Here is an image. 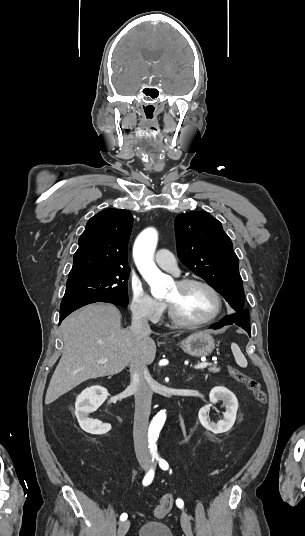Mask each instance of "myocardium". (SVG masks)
<instances>
[{
  "label": "myocardium",
  "instance_id": "f54148a6",
  "mask_svg": "<svg viewBox=\"0 0 305 536\" xmlns=\"http://www.w3.org/2000/svg\"><path fill=\"white\" fill-rule=\"evenodd\" d=\"M178 287L184 289L191 287L193 285H202L210 289L218 298L219 300V308L217 312L212 315L210 318L204 320V321H189L187 320L173 305H171L169 302H166L168 312L172 320L177 323L178 325H181L183 327L187 328H203L206 326H209L213 324L215 321H217L219 318L222 317V315L225 313L226 310V300L222 292L212 283L209 281H206L202 278L198 277H189V278H183L176 282Z\"/></svg>",
  "mask_w": 305,
  "mask_h": 536
}]
</instances>
